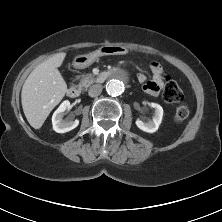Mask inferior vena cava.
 I'll use <instances>...</instances> for the list:
<instances>
[{
  "label": "inferior vena cava",
  "instance_id": "1",
  "mask_svg": "<svg viewBox=\"0 0 222 222\" xmlns=\"http://www.w3.org/2000/svg\"><path fill=\"white\" fill-rule=\"evenodd\" d=\"M102 89H103V87L101 84H94L89 88L88 94L91 97H96L101 94Z\"/></svg>",
  "mask_w": 222,
  "mask_h": 222
}]
</instances>
